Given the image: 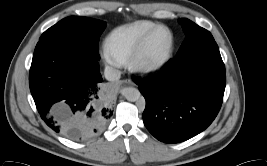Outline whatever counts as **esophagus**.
<instances>
[{
    "instance_id": "obj_1",
    "label": "esophagus",
    "mask_w": 267,
    "mask_h": 166,
    "mask_svg": "<svg viewBox=\"0 0 267 166\" xmlns=\"http://www.w3.org/2000/svg\"><path fill=\"white\" fill-rule=\"evenodd\" d=\"M125 82L128 84H133V82L131 80H126Z\"/></svg>"
}]
</instances>
